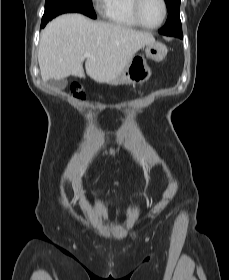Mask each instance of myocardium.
Wrapping results in <instances>:
<instances>
[{"label": "myocardium", "mask_w": 229, "mask_h": 280, "mask_svg": "<svg viewBox=\"0 0 229 280\" xmlns=\"http://www.w3.org/2000/svg\"><path fill=\"white\" fill-rule=\"evenodd\" d=\"M159 1L162 5L163 15H162L160 22L157 25L151 26V25L146 24L141 17V8H142L144 0H133L132 13H133L134 19L141 27L150 29V30H154L163 25V23L165 22L166 17H167V4H166L165 0H159Z\"/></svg>", "instance_id": "f54148a6"}]
</instances>
